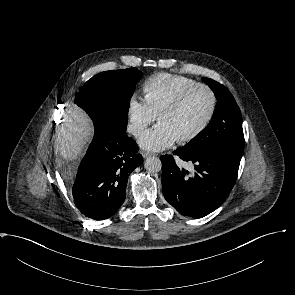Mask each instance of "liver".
Wrapping results in <instances>:
<instances>
[{"label": "liver", "instance_id": "6515ba94", "mask_svg": "<svg viewBox=\"0 0 295 295\" xmlns=\"http://www.w3.org/2000/svg\"><path fill=\"white\" fill-rule=\"evenodd\" d=\"M93 135V126L80 108L68 105L55 137V150L65 159H78Z\"/></svg>", "mask_w": 295, "mask_h": 295}]
</instances>
